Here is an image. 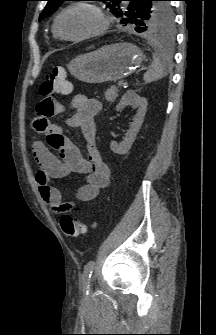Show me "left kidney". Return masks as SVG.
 Returning <instances> with one entry per match:
<instances>
[{
  "mask_svg": "<svg viewBox=\"0 0 216 335\" xmlns=\"http://www.w3.org/2000/svg\"><path fill=\"white\" fill-rule=\"evenodd\" d=\"M127 105H132L138 108L137 114L135 115L133 122L130 124V128L125 134V138L122 142L116 143L112 141L110 143L111 150L120 155L127 154L130 150L133 142L135 141L136 135L139 132L143 123L146 111H147V100L146 98L140 97L133 90H128L121 98L120 102L116 106V110L119 111Z\"/></svg>",
  "mask_w": 216,
  "mask_h": 335,
  "instance_id": "1",
  "label": "left kidney"
}]
</instances>
